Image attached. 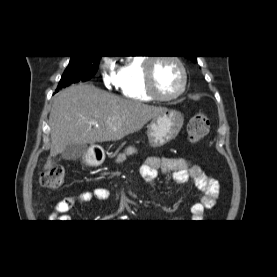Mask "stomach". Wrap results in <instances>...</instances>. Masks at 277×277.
<instances>
[{"mask_svg":"<svg viewBox=\"0 0 277 277\" xmlns=\"http://www.w3.org/2000/svg\"><path fill=\"white\" fill-rule=\"evenodd\" d=\"M184 122L183 115L175 110H166L153 118L147 126V136L151 146L160 147L175 139Z\"/></svg>","mask_w":277,"mask_h":277,"instance_id":"0dacf381","label":"stomach"}]
</instances>
